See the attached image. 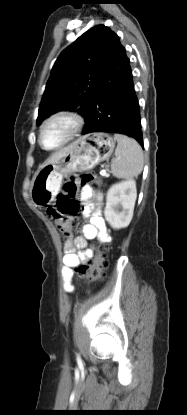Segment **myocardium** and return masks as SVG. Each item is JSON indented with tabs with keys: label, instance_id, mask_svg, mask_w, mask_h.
Returning <instances> with one entry per match:
<instances>
[{
	"label": "myocardium",
	"instance_id": "myocardium-1",
	"mask_svg": "<svg viewBox=\"0 0 187 415\" xmlns=\"http://www.w3.org/2000/svg\"><path fill=\"white\" fill-rule=\"evenodd\" d=\"M57 119H66L70 121L72 124L71 131L69 135L61 143L53 147H47L43 143L44 129L49 123ZM83 126H84V119L79 113L75 111H71V110H57L53 112L52 114H50L49 116H47L42 121L39 127V132H38V142L40 146L45 150H57L59 148H62L68 145L71 141H73L76 138V136L79 134V132L82 130Z\"/></svg>",
	"mask_w": 187,
	"mask_h": 415
}]
</instances>
